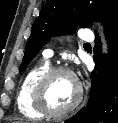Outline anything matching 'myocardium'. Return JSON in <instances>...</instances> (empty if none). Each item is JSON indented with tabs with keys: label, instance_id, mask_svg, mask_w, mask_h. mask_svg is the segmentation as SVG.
<instances>
[{
	"label": "myocardium",
	"instance_id": "f54148a6",
	"mask_svg": "<svg viewBox=\"0 0 118 123\" xmlns=\"http://www.w3.org/2000/svg\"><path fill=\"white\" fill-rule=\"evenodd\" d=\"M60 73H66L73 78L77 86V95L74 101L67 107L63 109H55L49 104L47 93H48V88L52 79ZM82 98H83V87L81 83L79 82L78 78L73 73V71L64 66H54V67L48 68L44 72V74L39 78L35 87V91H34L35 107L44 115H47L50 117H63L67 115L68 113L72 112L80 104V102L82 101Z\"/></svg>",
	"mask_w": 118,
	"mask_h": 123
}]
</instances>
